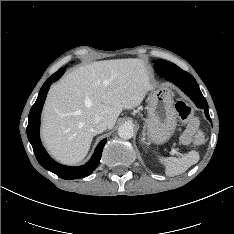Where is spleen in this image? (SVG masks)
<instances>
[{
    "mask_svg": "<svg viewBox=\"0 0 234 234\" xmlns=\"http://www.w3.org/2000/svg\"><path fill=\"white\" fill-rule=\"evenodd\" d=\"M199 158V153L192 150L182 158L160 157L159 160L165 166L166 175L173 177L184 173L190 166L196 164L199 161Z\"/></svg>",
    "mask_w": 234,
    "mask_h": 234,
    "instance_id": "spleen-1",
    "label": "spleen"
}]
</instances>
